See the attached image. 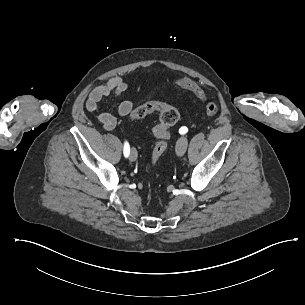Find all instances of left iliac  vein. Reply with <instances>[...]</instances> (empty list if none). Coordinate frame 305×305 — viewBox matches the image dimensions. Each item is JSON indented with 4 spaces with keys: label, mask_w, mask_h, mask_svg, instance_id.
Masks as SVG:
<instances>
[{
    "label": "left iliac vein",
    "mask_w": 305,
    "mask_h": 305,
    "mask_svg": "<svg viewBox=\"0 0 305 305\" xmlns=\"http://www.w3.org/2000/svg\"><path fill=\"white\" fill-rule=\"evenodd\" d=\"M188 140L186 137H180L176 142V151L179 156L183 155L187 149Z\"/></svg>",
    "instance_id": "left-iliac-vein-1"
}]
</instances>
